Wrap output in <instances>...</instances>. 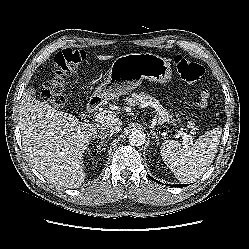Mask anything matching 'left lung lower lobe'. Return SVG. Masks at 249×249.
<instances>
[{
	"mask_svg": "<svg viewBox=\"0 0 249 249\" xmlns=\"http://www.w3.org/2000/svg\"><path fill=\"white\" fill-rule=\"evenodd\" d=\"M149 176V178L150 179H152V180H154L150 175H148ZM156 181V180H155ZM175 187L177 186V185H174ZM186 185H184V184H181V185H178V187H185Z\"/></svg>",
	"mask_w": 249,
	"mask_h": 249,
	"instance_id": "obj_1",
	"label": "left lung lower lobe"
}]
</instances>
